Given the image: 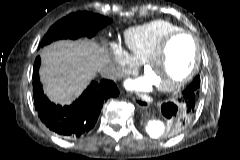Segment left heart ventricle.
Returning a JSON list of instances; mask_svg holds the SVG:
<instances>
[{
	"mask_svg": "<svg viewBox=\"0 0 240 160\" xmlns=\"http://www.w3.org/2000/svg\"><path fill=\"white\" fill-rule=\"evenodd\" d=\"M194 45L187 36L174 38L167 46L162 58L152 65L146 76L154 85H164L182 78L194 62Z\"/></svg>",
	"mask_w": 240,
	"mask_h": 160,
	"instance_id": "obj_1",
	"label": "left heart ventricle"
}]
</instances>
